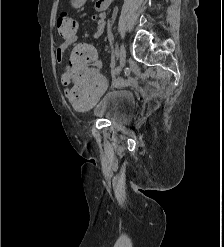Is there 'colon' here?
<instances>
[{
  "label": "colon",
  "mask_w": 224,
  "mask_h": 247,
  "mask_svg": "<svg viewBox=\"0 0 224 247\" xmlns=\"http://www.w3.org/2000/svg\"><path fill=\"white\" fill-rule=\"evenodd\" d=\"M76 19L67 13H61L57 19V32L63 39L77 36ZM97 52L88 43L78 45L72 54L68 76L73 86L69 89L68 99L76 108H88L94 105L106 88V80L96 65Z\"/></svg>",
  "instance_id": "1"
}]
</instances>
